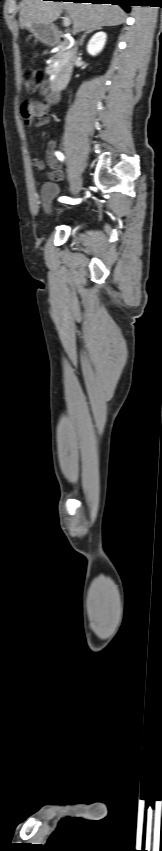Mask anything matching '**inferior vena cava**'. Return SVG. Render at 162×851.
I'll use <instances>...</instances> for the list:
<instances>
[{"label": "inferior vena cava", "instance_id": "inferior-vena-cava-1", "mask_svg": "<svg viewBox=\"0 0 162 851\" xmlns=\"http://www.w3.org/2000/svg\"><path fill=\"white\" fill-rule=\"evenodd\" d=\"M75 54H76V49H75V52H74L73 58H75Z\"/></svg>", "mask_w": 162, "mask_h": 851}]
</instances>
